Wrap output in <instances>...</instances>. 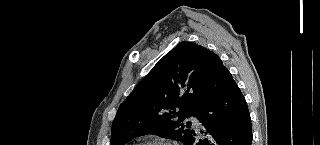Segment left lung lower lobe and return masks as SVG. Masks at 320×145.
I'll use <instances>...</instances> for the list:
<instances>
[{"label": "left lung lower lobe", "mask_w": 320, "mask_h": 145, "mask_svg": "<svg viewBox=\"0 0 320 145\" xmlns=\"http://www.w3.org/2000/svg\"><path fill=\"white\" fill-rule=\"evenodd\" d=\"M197 119L203 126L201 139L193 133L186 145H251L252 129L243 94L222 61L209 71L202 85Z\"/></svg>", "instance_id": "obj_1"}]
</instances>
